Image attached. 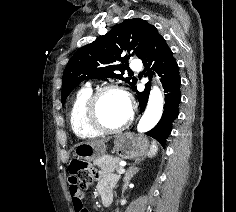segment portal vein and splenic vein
Instances as JSON below:
<instances>
[{
  "instance_id": "1",
  "label": "portal vein and splenic vein",
  "mask_w": 236,
  "mask_h": 212,
  "mask_svg": "<svg viewBox=\"0 0 236 212\" xmlns=\"http://www.w3.org/2000/svg\"><path fill=\"white\" fill-rule=\"evenodd\" d=\"M125 165V164H124ZM125 168L124 167H122V168H120L118 171H117V173L118 174H124L125 173Z\"/></svg>"
}]
</instances>
